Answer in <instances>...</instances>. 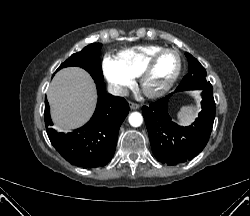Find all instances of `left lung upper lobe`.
Segmentation results:
<instances>
[{
    "instance_id": "left-lung-upper-lobe-1",
    "label": "left lung upper lobe",
    "mask_w": 250,
    "mask_h": 216,
    "mask_svg": "<svg viewBox=\"0 0 250 216\" xmlns=\"http://www.w3.org/2000/svg\"><path fill=\"white\" fill-rule=\"evenodd\" d=\"M185 55L189 63V72L176 90L213 89L210 82L206 80L207 73L204 67L191 54L186 52Z\"/></svg>"
}]
</instances>
